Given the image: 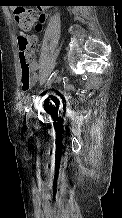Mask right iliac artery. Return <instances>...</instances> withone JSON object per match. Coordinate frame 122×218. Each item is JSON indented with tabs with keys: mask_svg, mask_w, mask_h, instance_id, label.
I'll list each match as a JSON object with an SVG mask.
<instances>
[{
	"mask_svg": "<svg viewBox=\"0 0 122 218\" xmlns=\"http://www.w3.org/2000/svg\"><path fill=\"white\" fill-rule=\"evenodd\" d=\"M55 76H56V72H53V73L50 75V77H49L47 83H50V82L54 79ZM34 99H35V95H33L32 97L28 98V100H27V105H26V107H25L26 112H28L29 107L32 105Z\"/></svg>",
	"mask_w": 122,
	"mask_h": 218,
	"instance_id": "right-iliac-artery-1",
	"label": "right iliac artery"
}]
</instances>
